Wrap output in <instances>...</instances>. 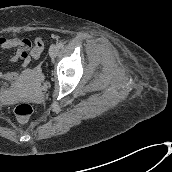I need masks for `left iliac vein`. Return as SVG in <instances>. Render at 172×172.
<instances>
[{
    "instance_id": "left-iliac-vein-1",
    "label": "left iliac vein",
    "mask_w": 172,
    "mask_h": 172,
    "mask_svg": "<svg viewBox=\"0 0 172 172\" xmlns=\"http://www.w3.org/2000/svg\"><path fill=\"white\" fill-rule=\"evenodd\" d=\"M59 52V47L57 45H51L49 48V54L52 58L56 57Z\"/></svg>"
}]
</instances>
